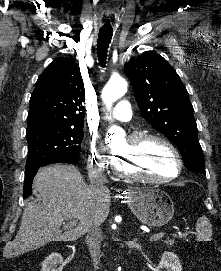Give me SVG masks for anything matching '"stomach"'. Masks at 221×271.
Listing matches in <instances>:
<instances>
[{"label":"stomach","mask_w":221,"mask_h":271,"mask_svg":"<svg viewBox=\"0 0 221 271\" xmlns=\"http://www.w3.org/2000/svg\"><path fill=\"white\" fill-rule=\"evenodd\" d=\"M126 203L142 223L152 227H161L173 217V201L168 193L160 189L132 187L126 195Z\"/></svg>","instance_id":"1"}]
</instances>
